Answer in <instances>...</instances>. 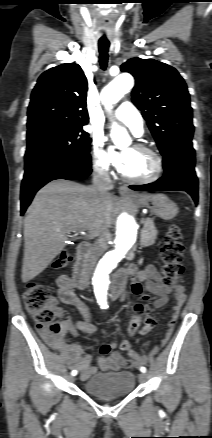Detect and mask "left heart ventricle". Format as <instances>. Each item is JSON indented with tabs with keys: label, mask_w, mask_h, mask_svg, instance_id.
Segmentation results:
<instances>
[{
	"label": "left heart ventricle",
	"mask_w": 212,
	"mask_h": 438,
	"mask_svg": "<svg viewBox=\"0 0 212 438\" xmlns=\"http://www.w3.org/2000/svg\"><path fill=\"white\" fill-rule=\"evenodd\" d=\"M128 160L122 172L128 177L142 179L150 176L155 170L154 160L148 153L135 149L126 148Z\"/></svg>",
	"instance_id": "1"
}]
</instances>
